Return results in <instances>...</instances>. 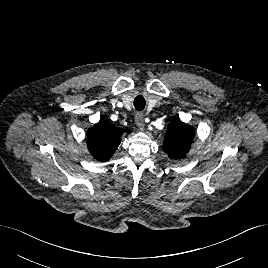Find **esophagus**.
<instances>
[{"label": "esophagus", "instance_id": "esophagus-1", "mask_svg": "<svg viewBox=\"0 0 268 268\" xmlns=\"http://www.w3.org/2000/svg\"><path fill=\"white\" fill-rule=\"evenodd\" d=\"M135 123L137 124L140 130L143 131L145 129L144 115L142 113H136Z\"/></svg>", "mask_w": 268, "mask_h": 268}]
</instances>
